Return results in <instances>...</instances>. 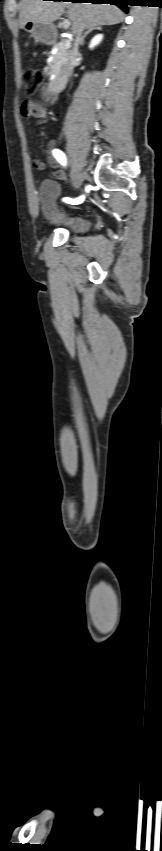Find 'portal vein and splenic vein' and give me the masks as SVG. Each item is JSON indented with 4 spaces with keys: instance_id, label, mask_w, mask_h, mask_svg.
<instances>
[{
    "instance_id": "1",
    "label": "portal vein and splenic vein",
    "mask_w": 162,
    "mask_h": 851,
    "mask_svg": "<svg viewBox=\"0 0 162 851\" xmlns=\"http://www.w3.org/2000/svg\"><path fill=\"white\" fill-rule=\"evenodd\" d=\"M62 25H63V28H64V29H68V28L70 27V25H71V22L69 21V19H64V21H63V24H62Z\"/></svg>"
}]
</instances>
